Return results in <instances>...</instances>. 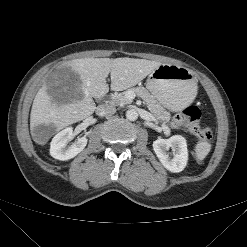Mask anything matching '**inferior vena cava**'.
Listing matches in <instances>:
<instances>
[{
	"mask_svg": "<svg viewBox=\"0 0 247 247\" xmlns=\"http://www.w3.org/2000/svg\"><path fill=\"white\" fill-rule=\"evenodd\" d=\"M115 112L116 108L110 104L100 105L96 110V113L99 116H109L115 114Z\"/></svg>",
	"mask_w": 247,
	"mask_h": 247,
	"instance_id": "1",
	"label": "inferior vena cava"
}]
</instances>
